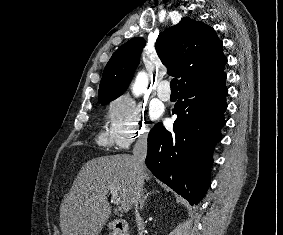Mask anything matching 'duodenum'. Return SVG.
Listing matches in <instances>:
<instances>
[{
	"label": "duodenum",
	"instance_id": "1",
	"mask_svg": "<svg viewBox=\"0 0 283 235\" xmlns=\"http://www.w3.org/2000/svg\"><path fill=\"white\" fill-rule=\"evenodd\" d=\"M108 227L114 233V235H126L127 224L122 220H111L108 223Z\"/></svg>",
	"mask_w": 283,
	"mask_h": 235
}]
</instances>
